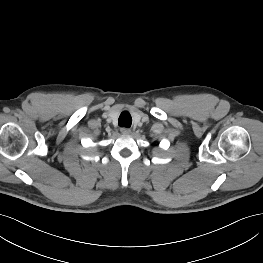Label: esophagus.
<instances>
[{"label": "esophagus", "mask_w": 263, "mask_h": 263, "mask_svg": "<svg viewBox=\"0 0 263 263\" xmlns=\"http://www.w3.org/2000/svg\"><path fill=\"white\" fill-rule=\"evenodd\" d=\"M120 131L123 135H128L131 133V130L129 128H125V127L121 128Z\"/></svg>", "instance_id": "1"}]
</instances>
